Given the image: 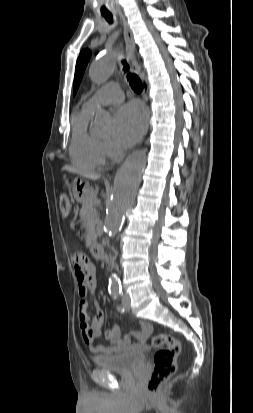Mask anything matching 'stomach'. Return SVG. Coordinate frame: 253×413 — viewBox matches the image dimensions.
Listing matches in <instances>:
<instances>
[{
  "label": "stomach",
  "mask_w": 253,
  "mask_h": 413,
  "mask_svg": "<svg viewBox=\"0 0 253 413\" xmlns=\"http://www.w3.org/2000/svg\"><path fill=\"white\" fill-rule=\"evenodd\" d=\"M72 196L77 202L83 203L90 196V187L83 179L76 178L72 185Z\"/></svg>",
  "instance_id": "stomach-1"
}]
</instances>
